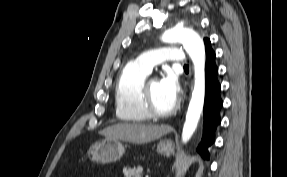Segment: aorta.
Segmentation results:
<instances>
[{"instance_id":"762f6f07","label":"aorta","mask_w":287,"mask_h":177,"mask_svg":"<svg viewBox=\"0 0 287 177\" xmlns=\"http://www.w3.org/2000/svg\"><path fill=\"white\" fill-rule=\"evenodd\" d=\"M166 43L181 42L194 65V89L182 130V142L187 143L194 134L203 110L205 97V47L200 36L191 29L175 27L162 36Z\"/></svg>"}]
</instances>
